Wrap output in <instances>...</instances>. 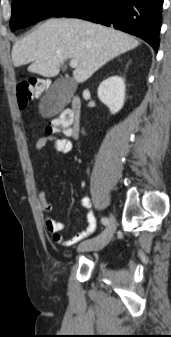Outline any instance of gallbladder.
Returning a JSON list of instances; mask_svg holds the SVG:
<instances>
[{
  "instance_id": "bac80fb5",
  "label": "gallbladder",
  "mask_w": 171,
  "mask_h": 337,
  "mask_svg": "<svg viewBox=\"0 0 171 337\" xmlns=\"http://www.w3.org/2000/svg\"><path fill=\"white\" fill-rule=\"evenodd\" d=\"M75 91V84L68 78L57 79L40 102V110L44 116L56 114L63 108Z\"/></svg>"
}]
</instances>
